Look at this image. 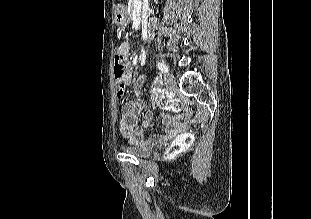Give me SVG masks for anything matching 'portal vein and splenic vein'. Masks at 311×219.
Here are the masks:
<instances>
[{"mask_svg":"<svg viewBox=\"0 0 311 219\" xmlns=\"http://www.w3.org/2000/svg\"><path fill=\"white\" fill-rule=\"evenodd\" d=\"M136 8L140 9L141 8V0H135V5Z\"/></svg>","mask_w":311,"mask_h":219,"instance_id":"1","label":"portal vein and splenic vein"}]
</instances>
